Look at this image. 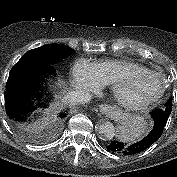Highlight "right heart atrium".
I'll use <instances>...</instances> for the list:
<instances>
[{
  "label": "right heart atrium",
  "instance_id": "1",
  "mask_svg": "<svg viewBox=\"0 0 177 177\" xmlns=\"http://www.w3.org/2000/svg\"><path fill=\"white\" fill-rule=\"evenodd\" d=\"M73 84L88 91L98 90L102 84L93 64L85 59H77L71 69Z\"/></svg>",
  "mask_w": 177,
  "mask_h": 177
}]
</instances>
